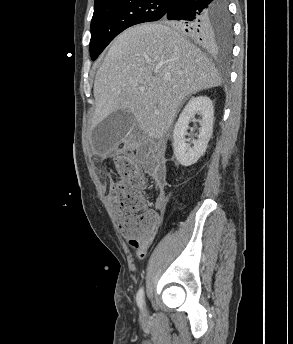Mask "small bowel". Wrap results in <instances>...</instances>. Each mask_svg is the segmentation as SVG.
<instances>
[{"label":"small bowel","mask_w":293,"mask_h":344,"mask_svg":"<svg viewBox=\"0 0 293 344\" xmlns=\"http://www.w3.org/2000/svg\"><path fill=\"white\" fill-rule=\"evenodd\" d=\"M165 204V197L164 192L160 191L158 194L156 207L162 208ZM153 238L152 237H141L136 239L129 240L128 244L130 247L134 248L136 250V254L139 258H143L146 254V251L152 244Z\"/></svg>","instance_id":"small-bowel-1"}]
</instances>
